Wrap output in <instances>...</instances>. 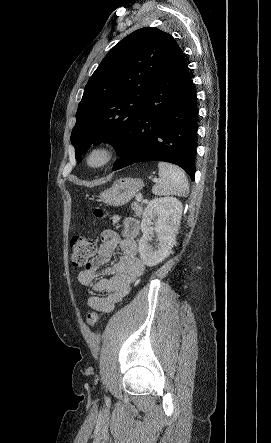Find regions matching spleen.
I'll list each match as a JSON object with an SVG mask.
<instances>
[{"label": "spleen", "instance_id": "3e777b00", "mask_svg": "<svg viewBox=\"0 0 271 443\" xmlns=\"http://www.w3.org/2000/svg\"><path fill=\"white\" fill-rule=\"evenodd\" d=\"M160 182L152 188L154 196H184L189 192L188 180L181 168L171 166L166 162H159Z\"/></svg>", "mask_w": 271, "mask_h": 443}]
</instances>
